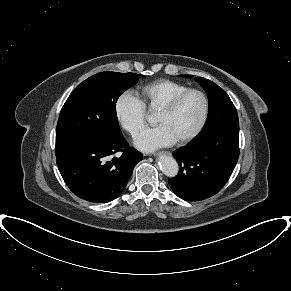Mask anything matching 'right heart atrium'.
<instances>
[{"label": "right heart atrium", "instance_id": "obj_1", "mask_svg": "<svg viewBox=\"0 0 291 291\" xmlns=\"http://www.w3.org/2000/svg\"><path fill=\"white\" fill-rule=\"evenodd\" d=\"M115 115L120 126L131 136H137L146 124V109L131 92L121 93L115 102Z\"/></svg>", "mask_w": 291, "mask_h": 291}]
</instances>
